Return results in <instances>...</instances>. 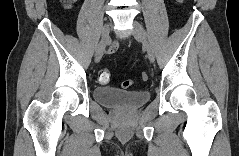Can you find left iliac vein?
I'll return each instance as SVG.
<instances>
[{
    "mask_svg": "<svg viewBox=\"0 0 239 156\" xmlns=\"http://www.w3.org/2000/svg\"><path fill=\"white\" fill-rule=\"evenodd\" d=\"M133 25H134V28L132 30V33L134 38L143 44V46L145 47L147 51L148 59L150 60V62L153 63L155 61V52L147 40V37L142 25L137 21H134Z\"/></svg>",
    "mask_w": 239,
    "mask_h": 156,
    "instance_id": "left-iliac-vein-1",
    "label": "left iliac vein"
}]
</instances>
